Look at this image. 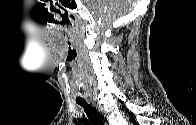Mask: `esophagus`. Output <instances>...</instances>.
Returning a JSON list of instances; mask_svg holds the SVG:
<instances>
[{
    "label": "esophagus",
    "mask_w": 196,
    "mask_h": 125,
    "mask_svg": "<svg viewBox=\"0 0 196 125\" xmlns=\"http://www.w3.org/2000/svg\"><path fill=\"white\" fill-rule=\"evenodd\" d=\"M92 102L95 105V107L97 108V110L102 114L103 120H104V125H110L109 120H108V116L104 112H102V110L100 109V106L94 100Z\"/></svg>",
    "instance_id": "esophagus-1"
}]
</instances>
